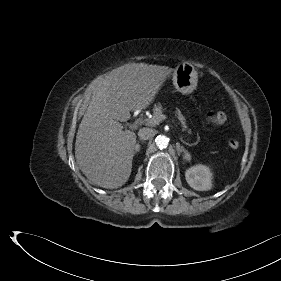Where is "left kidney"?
<instances>
[{"label":"left kidney","mask_w":281,"mask_h":281,"mask_svg":"<svg viewBox=\"0 0 281 281\" xmlns=\"http://www.w3.org/2000/svg\"><path fill=\"white\" fill-rule=\"evenodd\" d=\"M186 181L197 191H207L212 188V173L205 165H196L185 172Z\"/></svg>","instance_id":"1"}]
</instances>
